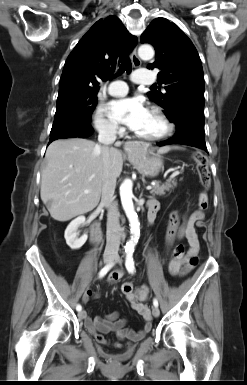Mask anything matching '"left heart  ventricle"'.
<instances>
[{"label": "left heart ventricle", "mask_w": 247, "mask_h": 385, "mask_svg": "<svg viewBox=\"0 0 247 385\" xmlns=\"http://www.w3.org/2000/svg\"><path fill=\"white\" fill-rule=\"evenodd\" d=\"M164 130V125L160 119L149 111L144 123L135 132L143 136H153L160 134Z\"/></svg>", "instance_id": "left-heart-ventricle-1"}]
</instances>
